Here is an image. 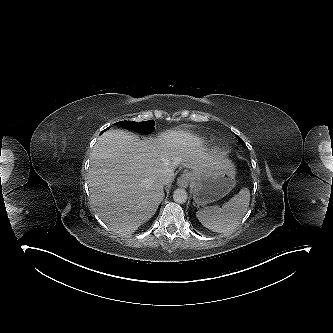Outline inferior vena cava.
<instances>
[{
	"instance_id": "1",
	"label": "inferior vena cava",
	"mask_w": 333,
	"mask_h": 333,
	"mask_svg": "<svg viewBox=\"0 0 333 333\" xmlns=\"http://www.w3.org/2000/svg\"><path fill=\"white\" fill-rule=\"evenodd\" d=\"M173 177H174L173 170L171 168H164L159 175V181L165 185L170 183Z\"/></svg>"
}]
</instances>
